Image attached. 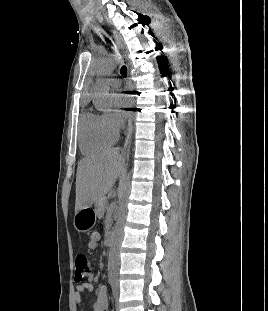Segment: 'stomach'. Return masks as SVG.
I'll use <instances>...</instances> for the list:
<instances>
[{
    "mask_svg": "<svg viewBox=\"0 0 268 311\" xmlns=\"http://www.w3.org/2000/svg\"><path fill=\"white\" fill-rule=\"evenodd\" d=\"M96 216V212L91 208V206L78 210L75 212L73 219L75 229L78 232L89 231L95 224Z\"/></svg>",
    "mask_w": 268,
    "mask_h": 311,
    "instance_id": "0dacf381",
    "label": "stomach"
}]
</instances>
